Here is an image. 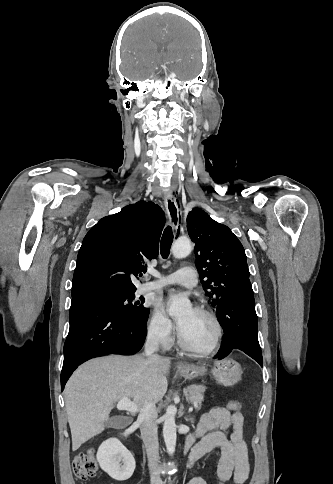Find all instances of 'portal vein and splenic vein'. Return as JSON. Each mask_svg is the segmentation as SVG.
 I'll return each instance as SVG.
<instances>
[{
    "label": "portal vein and splenic vein",
    "mask_w": 333,
    "mask_h": 484,
    "mask_svg": "<svg viewBox=\"0 0 333 484\" xmlns=\"http://www.w3.org/2000/svg\"><path fill=\"white\" fill-rule=\"evenodd\" d=\"M119 410L129 411L130 413H136L138 411L137 406L129 398H123L117 403Z\"/></svg>",
    "instance_id": "portal-vein-and-splenic-vein-1"
}]
</instances>
